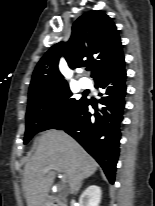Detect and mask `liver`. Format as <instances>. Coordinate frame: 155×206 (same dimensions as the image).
<instances>
[{"label": "liver", "mask_w": 155, "mask_h": 206, "mask_svg": "<svg viewBox=\"0 0 155 206\" xmlns=\"http://www.w3.org/2000/svg\"><path fill=\"white\" fill-rule=\"evenodd\" d=\"M37 143L24 168L23 189L28 206L45 203L56 171L64 173L70 193H75L80 183L97 170L96 161L63 131L48 130L37 138Z\"/></svg>", "instance_id": "liver-1"}]
</instances>
